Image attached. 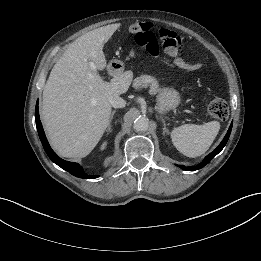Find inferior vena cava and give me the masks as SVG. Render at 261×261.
I'll return each instance as SVG.
<instances>
[{
    "label": "inferior vena cava",
    "instance_id": "obj_1",
    "mask_svg": "<svg viewBox=\"0 0 261 261\" xmlns=\"http://www.w3.org/2000/svg\"><path fill=\"white\" fill-rule=\"evenodd\" d=\"M109 102H110L111 106L114 108H123L126 105L125 100L119 96L111 97Z\"/></svg>",
    "mask_w": 261,
    "mask_h": 261
}]
</instances>
